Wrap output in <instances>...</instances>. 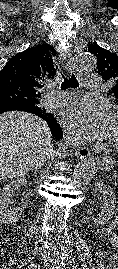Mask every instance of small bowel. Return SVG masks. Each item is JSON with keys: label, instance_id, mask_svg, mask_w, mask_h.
<instances>
[{"label": "small bowel", "instance_id": "obj_1", "mask_svg": "<svg viewBox=\"0 0 118 269\" xmlns=\"http://www.w3.org/2000/svg\"><path fill=\"white\" fill-rule=\"evenodd\" d=\"M106 236L110 243L118 248V217L115 219L113 227L106 230Z\"/></svg>", "mask_w": 118, "mask_h": 269}]
</instances>
